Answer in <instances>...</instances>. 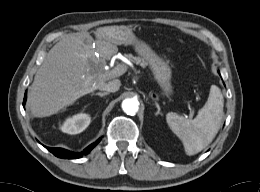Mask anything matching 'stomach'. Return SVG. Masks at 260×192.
<instances>
[{"instance_id":"0dacf381","label":"stomach","mask_w":260,"mask_h":192,"mask_svg":"<svg viewBox=\"0 0 260 192\" xmlns=\"http://www.w3.org/2000/svg\"><path fill=\"white\" fill-rule=\"evenodd\" d=\"M111 40L116 45H130L136 54L149 66L155 81L161 89V94L170 97L173 94L171 84L172 70L169 64L160 57L146 42L138 39L128 27L111 29ZM150 96L156 100L158 94L151 92Z\"/></svg>"}]
</instances>
